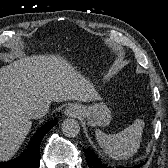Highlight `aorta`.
Segmentation results:
<instances>
[{
  "instance_id": "1",
  "label": "aorta",
  "mask_w": 168,
  "mask_h": 168,
  "mask_svg": "<svg viewBox=\"0 0 168 168\" xmlns=\"http://www.w3.org/2000/svg\"><path fill=\"white\" fill-rule=\"evenodd\" d=\"M62 132L67 137H76L80 131V126L75 119H65L61 126Z\"/></svg>"
}]
</instances>
